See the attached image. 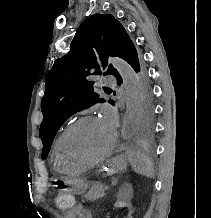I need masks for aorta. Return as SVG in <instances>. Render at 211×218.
I'll use <instances>...</instances> for the list:
<instances>
[{"label": "aorta", "instance_id": "aorta-1", "mask_svg": "<svg viewBox=\"0 0 211 218\" xmlns=\"http://www.w3.org/2000/svg\"><path fill=\"white\" fill-rule=\"evenodd\" d=\"M110 63L123 79L126 93V112L122 124V138L130 139L140 122L142 90L137 75L131 66L120 58H112Z\"/></svg>", "mask_w": 211, "mask_h": 218}]
</instances>
